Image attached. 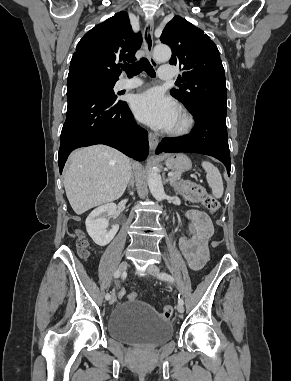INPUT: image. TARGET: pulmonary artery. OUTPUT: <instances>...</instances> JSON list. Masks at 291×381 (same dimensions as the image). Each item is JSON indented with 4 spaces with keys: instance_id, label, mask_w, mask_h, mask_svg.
Returning a JSON list of instances; mask_svg holds the SVG:
<instances>
[{
    "instance_id": "obj_1",
    "label": "pulmonary artery",
    "mask_w": 291,
    "mask_h": 381,
    "mask_svg": "<svg viewBox=\"0 0 291 381\" xmlns=\"http://www.w3.org/2000/svg\"><path fill=\"white\" fill-rule=\"evenodd\" d=\"M176 75V69L173 65H162L159 68V77L161 80H173ZM141 81L139 79H121L117 83V89H133L141 85Z\"/></svg>"
}]
</instances>
